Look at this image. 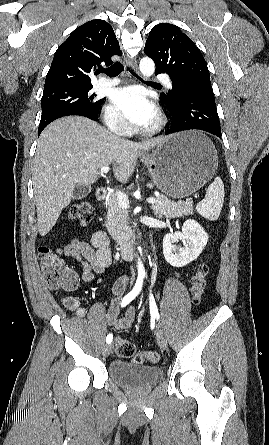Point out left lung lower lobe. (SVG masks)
Segmentation results:
<instances>
[{"label": "left lung lower lobe", "mask_w": 269, "mask_h": 445, "mask_svg": "<svg viewBox=\"0 0 269 445\" xmlns=\"http://www.w3.org/2000/svg\"><path fill=\"white\" fill-rule=\"evenodd\" d=\"M156 74H159L156 72ZM161 101L172 116V124L165 134L198 129L221 137L220 122L211 85L194 84L175 91L174 98L162 94Z\"/></svg>", "instance_id": "left-lung-lower-lobe-1"}]
</instances>
